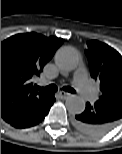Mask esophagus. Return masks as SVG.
Here are the masks:
<instances>
[{
    "mask_svg": "<svg viewBox=\"0 0 122 154\" xmlns=\"http://www.w3.org/2000/svg\"><path fill=\"white\" fill-rule=\"evenodd\" d=\"M61 98H67L70 94L68 92L61 91L59 92Z\"/></svg>",
    "mask_w": 122,
    "mask_h": 154,
    "instance_id": "1",
    "label": "esophagus"
}]
</instances>
